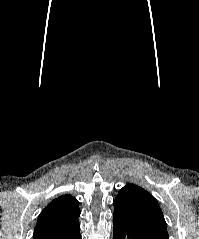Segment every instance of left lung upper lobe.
Listing matches in <instances>:
<instances>
[{
    "label": "left lung upper lobe",
    "instance_id": "1",
    "mask_svg": "<svg viewBox=\"0 0 199 239\" xmlns=\"http://www.w3.org/2000/svg\"><path fill=\"white\" fill-rule=\"evenodd\" d=\"M113 205L115 214L130 220L156 239H169L159 204L141 187L127 184L119 190Z\"/></svg>",
    "mask_w": 199,
    "mask_h": 239
}]
</instances>
